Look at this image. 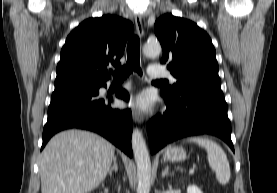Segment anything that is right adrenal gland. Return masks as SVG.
I'll list each match as a JSON object with an SVG mask.
<instances>
[{
	"label": "right adrenal gland",
	"instance_id": "2a0ac1e0",
	"mask_svg": "<svg viewBox=\"0 0 277 193\" xmlns=\"http://www.w3.org/2000/svg\"><path fill=\"white\" fill-rule=\"evenodd\" d=\"M113 171H115V172L118 171V164H117V159H116V157H115L114 160H113V166H112V168H110V170H109V175H110V176H112V172H113Z\"/></svg>",
	"mask_w": 277,
	"mask_h": 193
}]
</instances>
